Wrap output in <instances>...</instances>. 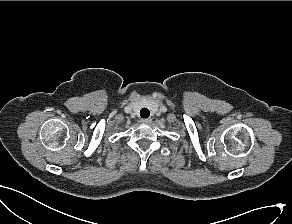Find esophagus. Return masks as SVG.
<instances>
[{
  "label": "esophagus",
  "instance_id": "34e87169",
  "mask_svg": "<svg viewBox=\"0 0 292 224\" xmlns=\"http://www.w3.org/2000/svg\"><path fill=\"white\" fill-rule=\"evenodd\" d=\"M141 122L143 124H150L152 122V120L150 118H147V119H142Z\"/></svg>",
  "mask_w": 292,
  "mask_h": 224
}]
</instances>
